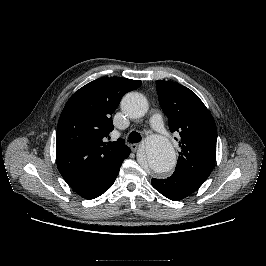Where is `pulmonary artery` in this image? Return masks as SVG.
<instances>
[{
  "instance_id": "e3ab8cb5",
  "label": "pulmonary artery",
  "mask_w": 266,
  "mask_h": 266,
  "mask_svg": "<svg viewBox=\"0 0 266 266\" xmlns=\"http://www.w3.org/2000/svg\"><path fill=\"white\" fill-rule=\"evenodd\" d=\"M151 127L158 133L166 135V130L163 126L162 118L159 114H155L150 119Z\"/></svg>"
}]
</instances>
